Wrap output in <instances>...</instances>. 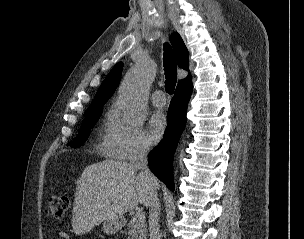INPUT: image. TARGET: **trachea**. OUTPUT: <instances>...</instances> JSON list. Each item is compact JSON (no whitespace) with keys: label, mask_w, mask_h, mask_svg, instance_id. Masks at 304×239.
Instances as JSON below:
<instances>
[{"label":"trachea","mask_w":304,"mask_h":239,"mask_svg":"<svg viewBox=\"0 0 304 239\" xmlns=\"http://www.w3.org/2000/svg\"><path fill=\"white\" fill-rule=\"evenodd\" d=\"M163 63L166 76L165 90L171 95L177 82V64L172 47L167 43L164 44Z\"/></svg>","instance_id":"3493384b"}]
</instances>
